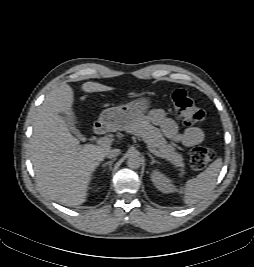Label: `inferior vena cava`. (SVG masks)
Instances as JSON below:
<instances>
[{
    "instance_id": "inferior-vena-cava-1",
    "label": "inferior vena cava",
    "mask_w": 254,
    "mask_h": 267,
    "mask_svg": "<svg viewBox=\"0 0 254 267\" xmlns=\"http://www.w3.org/2000/svg\"><path fill=\"white\" fill-rule=\"evenodd\" d=\"M120 153L119 149H111L106 153V157L111 159L118 156Z\"/></svg>"
}]
</instances>
